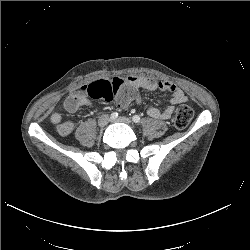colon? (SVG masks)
Here are the masks:
<instances>
[{
	"label": "colon",
	"instance_id": "colon-1",
	"mask_svg": "<svg viewBox=\"0 0 250 250\" xmlns=\"http://www.w3.org/2000/svg\"><path fill=\"white\" fill-rule=\"evenodd\" d=\"M87 94L97 100L112 101L120 97V107L124 108L132 102L133 91L129 89L119 90L118 86L111 80H98L87 86ZM194 112L191 107L182 105L176 109L173 122L177 129L186 128Z\"/></svg>",
	"mask_w": 250,
	"mask_h": 250
}]
</instances>
